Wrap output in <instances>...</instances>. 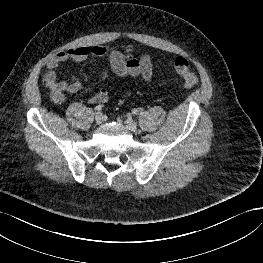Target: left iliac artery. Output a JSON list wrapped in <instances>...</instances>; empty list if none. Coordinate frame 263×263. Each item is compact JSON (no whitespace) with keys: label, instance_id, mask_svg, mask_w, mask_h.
<instances>
[{"label":"left iliac artery","instance_id":"left-iliac-artery-1","mask_svg":"<svg viewBox=\"0 0 263 263\" xmlns=\"http://www.w3.org/2000/svg\"><path fill=\"white\" fill-rule=\"evenodd\" d=\"M132 113L135 114V115H137V114H138V110H137V109H133V110H132Z\"/></svg>","mask_w":263,"mask_h":263}]
</instances>
